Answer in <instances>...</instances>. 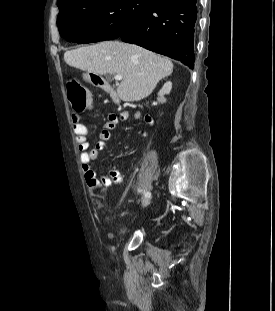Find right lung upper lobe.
Returning a JSON list of instances; mask_svg holds the SVG:
<instances>
[{"instance_id": "cb5924a9", "label": "right lung upper lobe", "mask_w": 275, "mask_h": 311, "mask_svg": "<svg viewBox=\"0 0 275 311\" xmlns=\"http://www.w3.org/2000/svg\"><path fill=\"white\" fill-rule=\"evenodd\" d=\"M67 1H70V0H57V5H61L62 3H65Z\"/></svg>"}]
</instances>
